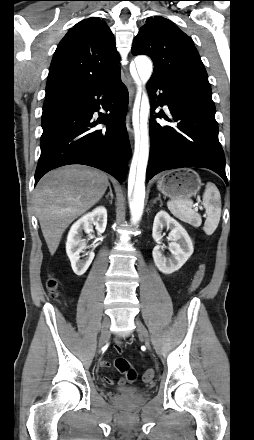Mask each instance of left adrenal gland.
I'll return each mask as SVG.
<instances>
[{
    "instance_id": "obj_1",
    "label": "left adrenal gland",
    "mask_w": 254,
    "mask_h": 440,
    "mask_svg": "<svg viewBox=\"0 0 254 440\" xmlns=\"http://www.w3.org/2000/svg\"><path fill=\"white\" fill-rule=\"evenodd\" d=\"M156 201H160L161 205H162V201H161V195L159 194L158 197L156 199H154L153 204L156 203Z\"/></svg>"
}]
</instances>
